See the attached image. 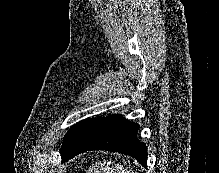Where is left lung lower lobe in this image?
I'll list each match as a JSON object with an SVG mask.
<instances>
[{"mask_svg": "<svg viewBox=\"0 0 219 173\" xmlns=\"http://www.w3.org/2000/svg\"><path fill=\"white\" fill-rule=\"evenodd\" d=\"M139 125L121 115L91 119L74 145L62 155V162L90 150H108L134 157L146 166L147 147L137 139Z\"/></svg>", "mask_w": 219, "mask_h": 173, "instance_id": "obj_1", "label": "left lung lower lobe"}]
</instances>
